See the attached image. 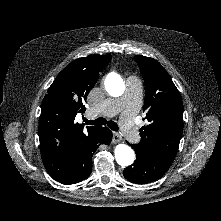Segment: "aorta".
I'll return each instance as SVG.
<instances>
[{
  "label": "aorta",
  "mask_w": 221,
  "mask_h": 221,
  "mask_svg": "<svg viewBox=\"0 0 221 221\" xmlns=\"http://www.w3.org/2000/svg\"><path fill=\"white\" fill-rule=\"evenodd\" d=\"M105 89L113 97L121 96L125 91V83L117 73H110L105 79ZM115 159L121 166H130L135 159V153L131 147L126 144H119L114 151Z\"/></svg>",
  "instance_id": "1"
}]
</instances>
